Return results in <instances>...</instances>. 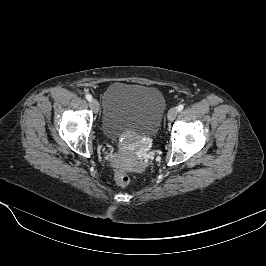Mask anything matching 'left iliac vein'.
<instances>
[{"label": "left iliac vein", "instance_id": "left-iliac-vein-1", "mask_svg": "<svg viewBox=\"0 0 266 266\" xmlns=\"http://www.w3.org/2000/svg\"><path fill=\"white\" fill-rule=\"evenodd\" d=\"M177 108H171L169 111H168V115H167V118L169 121H173L176 116H177Z\"/></svg>", "mask_w": 266, "mask_h": 266}]
</instances>
